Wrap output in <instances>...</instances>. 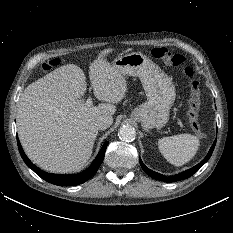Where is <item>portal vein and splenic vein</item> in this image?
<instances>
[{
    "label": "portal vein and splenic vein",
    "mask_w": 233,
    "mask_h": 233,
    "mask_svg": "<svg viewBox=\"0 0 233 233\" xmlns=\"http://www.w3.org/2000/svg\"><path fill=\"white\" fill-rule=\"evenodd\" d=\"M92 104H93L92 99L89 97V98L87 99V101L85 102V105H86L87 107H90Z\"/></svg>",
    "instance_id": "obj_1"
}]
</instances>
